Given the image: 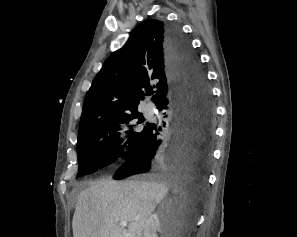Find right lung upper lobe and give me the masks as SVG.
Segmentation results:
<instances>
[{
	"mask_svg": "<svg viewBox=\"0 0 297 237\" xmlns=\"http://www.w3.org/2000/svg\"><path fill=\"white\" fill-rule=\"evenodd\" d=\"M166 23L139 24L122 49L112 53L85 96L78 135L115 115L138 112L145 91L154 83L156 106L168 98L172 75L166 50Z\"/></svg>",
	"mask_w": 297,
	"mask_h": 237,
	"instance_id": "obj_1",
	"label": "right lung upper lobe"
}]
</instances>
